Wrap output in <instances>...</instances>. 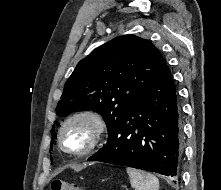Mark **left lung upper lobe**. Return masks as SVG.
<instances>
[{
	"mask_svg": "<svg viewBox=\"0 0 221 190\" xmlns=\"http://www.w3.org/2000/svg\"><path fill=\"white\" fill-rule=\"evenodd\" d=\"M166 62L148 40L115 38L81 60L66 81L56 114L94 110L110 129L136 104Z\"/></svg>",
	"mask_w": 221,
	"mask_h": 190,
	"instance_id": "left-lung-upper-lobe-1",
	"label": "left lung upper lobe"
}]
</instances>
